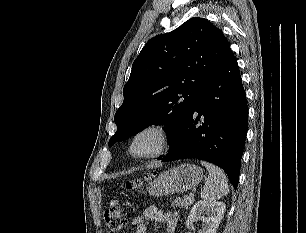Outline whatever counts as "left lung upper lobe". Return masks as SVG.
Here are the masks:
<instances>
[{
    "label": "left lung upper lobe",
    "mask_w": 306,
    "mask_h": 233,
    "mask_svg": "<svg viewBox=\"0 0 306 233\" xmlns=\"http://www.w3.org/2000/svg\"><path fill=\"white\" fill-rule=\"evenodd\" d=\"M230 51L221 30L204 18H191L150 39L123 88L124 101L114 117L117 131L109 146L153 123L166 124L171 143Z\"/></svg>",
    "instance_id": "1"
}]
</instances>
